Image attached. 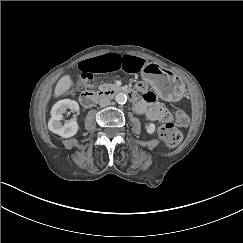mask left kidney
<instances>
[{
  "mask_svg": "<svg viewBox=\"0 0 243 243\" xmlns=\"http://www.w3.org/2000/svg\"><path fill=\"white\" fill-rule=\"evenodd\" d=\"M155 124H153V123H150V124H147L146 126H145V128H146V131L149 133V134H152V133H154L155 132Z\"/></svg>",
  "mask_w": 243,
  "mask_h": 243,
  "instance_id": "1",
  "label": "left kidney"
}]
</instances>
